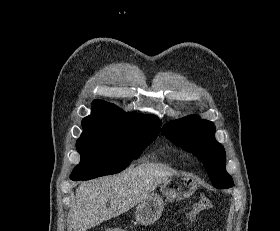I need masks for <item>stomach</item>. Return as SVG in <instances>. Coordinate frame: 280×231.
Segmentation results:
<instances>
[{"label": "stomach", "mask_w": 280, "mask_h": 231, "mask_svg": "<svg viewBox=\"0 0 280 231\" xmlns=\"http://www.w3.org/2000/svg\"><path fill=\"white\" fill-rule=\"evenodd\" d=\"M162 195L159 193H150L146 199H143L136 207L135 219L141 225H150L159 219L165 199H186L190 197L197 189V181L194 175L186 171H176L174 175L162 181L159 185ZM165 197V199H164Z\"/></svg>", "instance_id": "0dacf381"}]
</instances>
